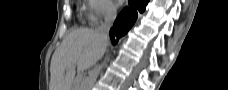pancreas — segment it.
<instances>
[{
	"mask_svg": "<svg viewBox=\"0 0 228 90\" xmlns=\"http://www.w3.org/2000/svg\"><path fill=\"white\" fill-rule=\"evenodd\" d=\"M74 83H75V88L81 90L82 79L76 78Z\"/></svg>",
	"mask_w": 228,
	"mask_h": 90,
	"instance_id": "cf45deb5",
	"label": "pancreas"
}]
</instances>
